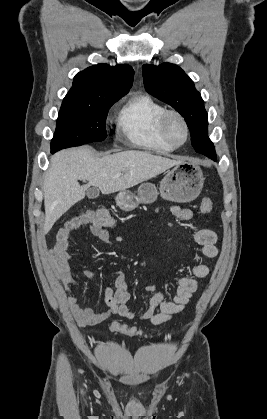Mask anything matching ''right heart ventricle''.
<instances>
[{"instance_id": "e07e8e85", "label": "right heart ventricle", "mask_w": 267, "mask_h": 419, "mask_svg": "<svg viewBox=\"0 0 267 419\" xmlns=\"http://www.w3.org/2000/svg\"><path fill=\"white\" fill-rule=\"evenodd\" d=\"M166 108L148 94L130 97L116 117L118 132L134 146L156 153L168 154L175 148L159 133V119Z\"/></svg>"}]
</instances>
